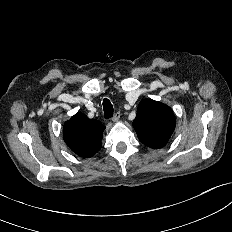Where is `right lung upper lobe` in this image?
<instances>
[{"label": "right lung upper lobe", "instance_id": "obj_1", "mask_svg": "<svg viewBox=\"0 0 232 232\" xmlns=\"http://www.w3.org/2000/svg\"><path fill=\"white\" fill-rule=\"evenodd\" d=\"M104 129L105 127L97 120L89 119L78 112L65 122L63 137L75 154L89 158L101 148Z\"/></svg>", "mask_w": 232, "mask_h": 232}]
</instances>
